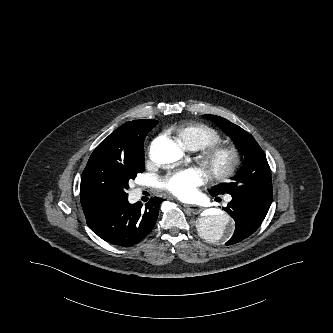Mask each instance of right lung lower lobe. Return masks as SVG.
Listing matches in <instances>:
<instances>
[{
  "mask_svg": "<svg viewBox=\"0 0 333 333\" xmlns=\"http://www.w3.org/2000/svg\"><path fill=\"white\" fill-rule=\"evenodd\" d=\"M162 201L151 198L142 208L141 204H130L126 197L84 209V214L88 226L100 238L127 247L142 241L153 229Z\"/></svg>",
  "mask_w": 333,
  "mask_h": 333,
  "instance_id": "1",
  "label": "right lung lower lobe"
}]
</instances>
